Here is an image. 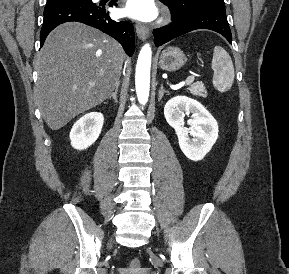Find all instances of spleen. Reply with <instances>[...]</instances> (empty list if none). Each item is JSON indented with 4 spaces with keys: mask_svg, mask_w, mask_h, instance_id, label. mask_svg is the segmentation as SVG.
I'll use <instances>...</instances> for the list:
<instances>
[{
    "mask_svg": "<svg viewBox=\"0 0 289 274\" xmlns=\"http://www.w3.org/2000/svg\"><path fill=\"white\" fill-rule=\"evenodd\" d=\"M212 69L213 86L220 92L228 91L234 82V66L227 51L220 46L214 47Z\"/></svg>",
    "mask_w": 289,
    "mask_h": 274,
    "instance_id": "1",
    "label": "spleen"
}]
</instances>
